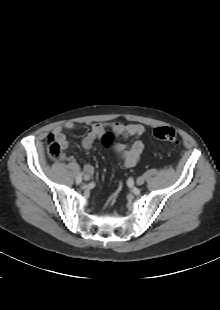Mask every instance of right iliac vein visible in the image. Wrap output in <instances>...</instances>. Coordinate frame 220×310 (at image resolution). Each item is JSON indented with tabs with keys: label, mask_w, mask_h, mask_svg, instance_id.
Segmentation results:
<instances>
[{
	"label": "right iliac vein",
	"mask_w": 220,
	"mask_h": 310,
	"mask_svg": "<svg viewBox=\"0 0 220 310\" xmlns=\"http://www.w3.org/2000/svg\"><path fill=\"white\" fill-rule=\"evenodd\" d=\"M89 179H90V176H89V175H87V174L84 175V180H85V181H88Z\"/></svg>",
	"instance_id": "obj_1"
}]
</instances>
